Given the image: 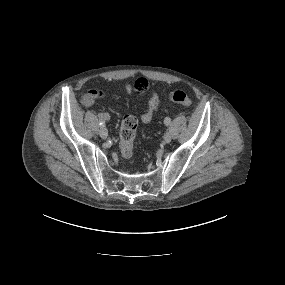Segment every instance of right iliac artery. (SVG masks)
I'll return each mask as SVG.
<instances>
[{"mask_svg": "<svg viewBox=\"0 0 285 285\" xmlns=\"http://www.w3.org/2000/svg\"><path fill=\"white\" fill-rule=\"evenodd\" d=\"M99 125H100V127H104L105 126V124H104V122L103 121H99Z\"/></svg>", "mask_w": 285, "mask_h": 285, "instance_id": "obj_1", "label": "right iliac artery"}]
</instances>
